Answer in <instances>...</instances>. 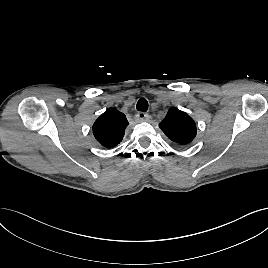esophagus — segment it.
Segmentation results:
<instances>
[{
  "mask_svg": "<svg viewBox=\"0 0 268 268\" xmlns=\"http://www.w3.org/2000/svg\"><path fill=\"white\" fill-rule=\"evenodd\" d=\"M148 117V114H146L145 112H138L137 114V118L139 121H145Z\"/></svg>",
  "mask_w": 268,
  "mask_h": 268,
  "instance_id": "esophagus-1",
  "label": "esophagus"
}]
</instances>
